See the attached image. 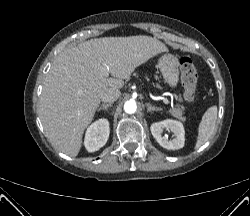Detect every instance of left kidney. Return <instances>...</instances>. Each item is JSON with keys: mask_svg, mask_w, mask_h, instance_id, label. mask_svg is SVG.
Masks as SVG:
<instances>
[{"mask_svg": "<svg viewBox=\"0 0 250 216\" xmlns=\"http://www.w3.org/2000/svg\"><path fill=\"white\" fill-rule=\"evenodd\" d=\"M150 129L153 137L163 148L168 150H178L183 148L185 143V131L181 122L167 119L153 123ZM164 129L170 130L173 133L174 138L172 140H168L166 136H162Z\"/></svg>", "mask_w": 250, "mask_h": 216, "instance_id": "5707ae66", "label": "left kidney"}]
</instances>
